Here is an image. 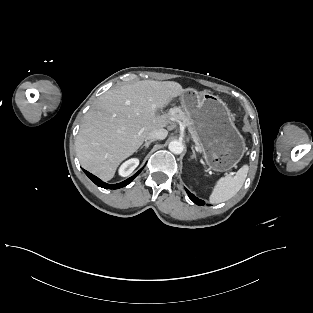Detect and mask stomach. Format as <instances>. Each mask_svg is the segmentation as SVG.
I'll return each instance as SVG.
<instances>
[{"mask_svg": "<svg viewBox=\"0 0 313 313\" xmlns=\"http://www.w3.org/2000/svg\"><path fill=\"white\" fill-rule=\"evenodd\" d=\"M180 104L208 167L216 172L232 169L243 157L246 144L226 103L211 93L188 88L180 95Z\"/></svg>", "mask_w": 313, "mask_h": 313, "instance_id": "stomach-1", "label": "stomach"}]
</instances>
